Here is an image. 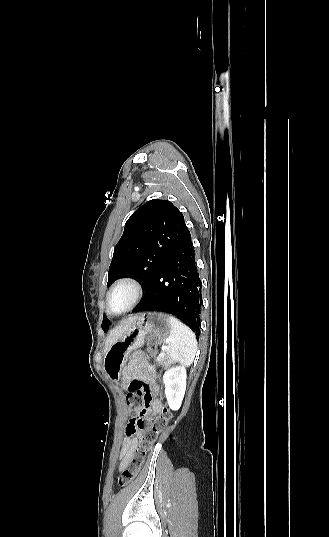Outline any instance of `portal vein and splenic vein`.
Returning a JSON list of instances; mask_svg holds the SVG:
<instances>
[{"label":"portal vein and splenic vein","mask_w":329,"mask_h":537,"mask_svg":"<svg viewBox=\"0 0 329 537\" xmlns=\"http://www.w3.org/2000/svg\"><path fill=\"white\" fill-rule=\"evenodd\" d=\"M162 351H165L167 349V346L166 345H162Z\"/></svg>","instance_id":"portal-vein-and-splenic-vein-1"}]
</instances>
